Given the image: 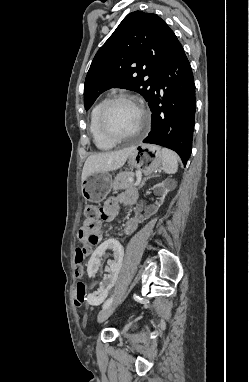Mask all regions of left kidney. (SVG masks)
<instances>
[{"mask_svg":"<svg viewBox=\"0 0 249 382\" xmlns=\"http://www.w3.org/2000/svg\"><path fill=\"white\" fill-rule=\"evenodd\" d=\"M176 187V181L173 179H165L162 183L152 186V197H147V201H137V208H151L153 203H157L156 210L164 202L167 193ZM87 263V272L89 277H98L99 273H103L104 280L97 289L90 292L88 297V307H99L100 302H106L107 298L111 297L110 287L115 286V277H118L120 272L124 248L126 245H121L118 237H107L103 240ZM102 257H114V260H107L106 266L102 265Z\"/></svg>","mask_w":249,"mask_h":382,"instance_id":"left-kidney-1","label":"left kidney"}]
</instances>
